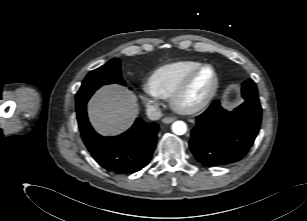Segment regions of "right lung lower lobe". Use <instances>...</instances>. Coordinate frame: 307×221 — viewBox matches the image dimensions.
Masks as SVG:
<instances>
[{"mask_svg": "<svg viewBox=\"0 0 307 221\" xmlns=\"http://www.w3.org/2000/svg\"><path fill=\"white\" fill-rule=\"evenodd\" d=\"M78 125L84 144L91 156L106 170L116 174H131L145 167L157 142V123L137 118L134 125L116 137H102L91 127L86 105L77 110Z\"/></svg>", "mask_w": 307, "mask_h": 221, "instance_id": "right-lung-lower-lobe-1", "label": "right lung lower lobe"}]
</instances>
